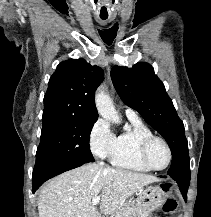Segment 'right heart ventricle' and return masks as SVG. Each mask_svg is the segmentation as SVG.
<instances>
[{"mask_svg":"<svg viewBox=\"0 0 211 217\" xmlns=\"http://www.w3.org/2000/svg\"><path fill=\"white\" fill-rule=\"evenodd\" d=\"M128 119L130 128L116 136L111 163L121 168L148 172L150 169L143 164L139 149L142 140L153 134L137 116H128Z\"/></svg>","mask_w":211,"mask_h":217,"instance_id":"1","label":"right heart ventricle"}]
</instances>
